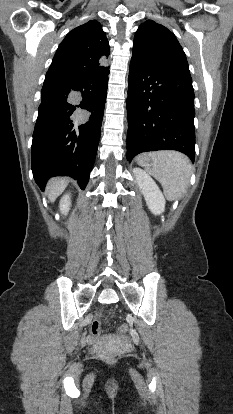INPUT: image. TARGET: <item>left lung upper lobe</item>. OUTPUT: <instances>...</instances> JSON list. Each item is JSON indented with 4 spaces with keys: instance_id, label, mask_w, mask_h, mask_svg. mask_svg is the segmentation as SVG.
<instances>
[{
    "instance_id": "left-lung-upper-lobe-1",
    "label": "left lung upper lobe",
    "mask_w": 233,
    "mask_h": 414,
    "mask_svg": "<svg viewBox=\"0 0 233 414\" xmlns=\"http://www.w3.org/2000/svg\"><path fill=\"white\" fill-rule=\"evenodd\" d=\"M132 58L164 72L190 76L185 53L175 35L152 20L138 28Z\"/></svg>"
}]
</instances>
